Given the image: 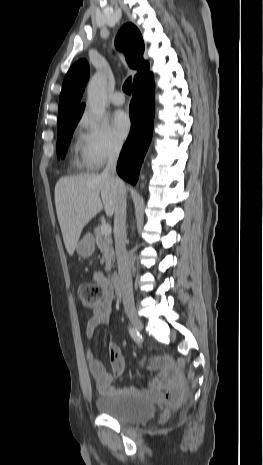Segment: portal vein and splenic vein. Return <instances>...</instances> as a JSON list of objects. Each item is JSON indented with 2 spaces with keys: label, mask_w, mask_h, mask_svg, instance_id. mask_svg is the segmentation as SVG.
<instances>
[{
  "label": "portal vein and splenic vein",
  "mask_w": 263,
  "mask_h": 465,
  "mask_svg": "<svg viewBox=\"0 0 263 465\" xmlns=\"http://www.w3.org/2000/svg\"><path fill=\"white\" fill-rule=\"evenodd\" d=\"M101 231L104 235H108L111 233V226L109 224H102Z\"/></svg>",
  "instance_id": "1"
}]
</instances>
